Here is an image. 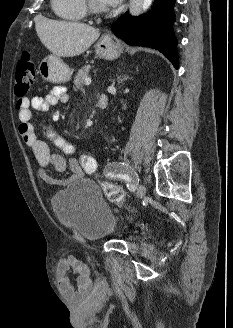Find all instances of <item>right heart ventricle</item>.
<instances>
[{
    "label": "right heart ventricle",
    "mask_w": 233,
    "mask_h": 328,
    "mask_svg": "<svg viewBox=\"0 0 233 328\" xmlns=\"http://www.w3.org/2000/svg\"><path fill=\"white\" fill-rule=\"evenodd\" d=\"M52 7L59 17L66 20L79 21L87 14L85 0H52Z\"/></svg>",
    "instance_id": "obj_1"
}]
</instances>
